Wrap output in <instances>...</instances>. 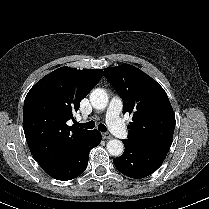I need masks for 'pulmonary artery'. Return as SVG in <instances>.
Returning a JSON list of instances; mask_svg holds the SVG:
<instances>
[{
  "label": "pulmonary artery",
  "mask_w": 209,
  "mask_h": 209,
  "mask_svg": "<svg viewBox=\"0 0 209 209\" xmlns=\"http://www.w3.org/2000/svg\"><path fill=\"white\" fill-rule=\"evenodd\" d=\"M122 106V101L119 98H112L107 109L106 119L110 131L117 137L126 139L128 138L129 133L119 117V114L122 110Z\"/></svg>",
  "instance_id": "1"
}]
</instances>
